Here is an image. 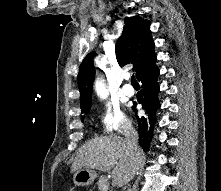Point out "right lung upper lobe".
<instances>
[{
    "mask_svg": "<svg viewBox=\"0 0 221 191\" xmlns=\"http://www.w3.org/2000/svg\"><path fill=\"white\" fill-rule=\"evenodd\" d=\"M124 24L123 33L116 42V58L121 66L132 63L137 77L157 60L154 54V41L150 36V21L132 16L125 17ZM94 54L95 52H91L85 57L78 73L81 113L90 111L92 104Z\"/></svg>",
    "mask_w": 221,
    "mask_h": 191,
    "instance_id": "obj_1",
    "label": "right lung upper lobe"
}]
</instances>
